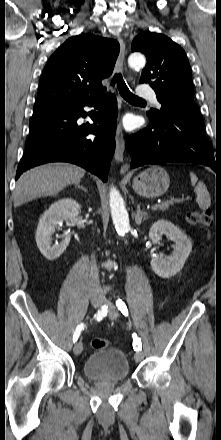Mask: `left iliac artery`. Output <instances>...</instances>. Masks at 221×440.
<instances>
[{"mask_svg":"<svg viewBox=\"0 0 221 440\" xmlns=\"http://www.w3.org/2000/svg\"><path fill=\"white\" fill-rule=\"evenodd\" d=\"M116 306L122 312L123 315L128 316L127 306L121 299L116 300ZM133 340H134V342H133L134 350L135 351L141 350V347H142L141 339L138 338L136 334H133Z\"/></svg>","mask_w":221,"mask_h":440,"instance_id":"left-iliac-artery-1","label":"left iliac artery"}]
</instances>
